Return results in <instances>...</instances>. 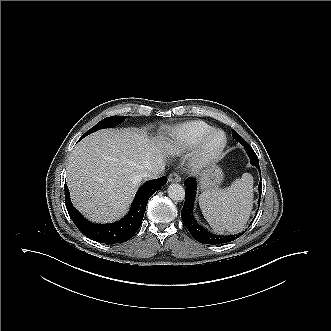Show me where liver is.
Returning <instances> with one entry per match:
<instances>
[{"instance_id":"liver-1","label":"liver","mask_w":331,"mask_h":331,"mask_svg":"<svg viewBox=\"0 0 331 331\" xmlns=\"http://www.w3.org/2000/svg\"><path fill=\"white\" fill-rule=\"evenodd\" d=\"M173 152L174 145L163 135L151 140L136 129L97 131L84 138L69 158L71 201L93 222L115 221L128 211L142 174L164 166Z\"/></svg>"}]
</instances>
